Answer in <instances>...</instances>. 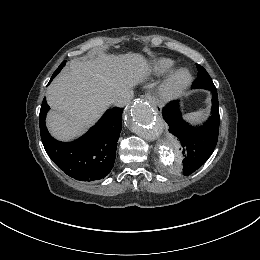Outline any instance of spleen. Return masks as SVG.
<instances>
[{
	"label": "spleen",
	"mask_w": 260,
	"mask_h": 260,
	"mask_svg": "<svg viewBox=\"0 0 260 260\" xmlns=\"http://www.w3.org/2000/svg\"><path fill=\"white\" fill-rule=\"evenodd\" d=\"M206 111L204 109H200L196 112L187 113L184 115V119H186L191 124H198L206 119Z\"/></svg>",
	"instance_id": "1"
}]
</instances>
